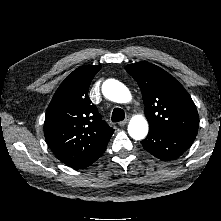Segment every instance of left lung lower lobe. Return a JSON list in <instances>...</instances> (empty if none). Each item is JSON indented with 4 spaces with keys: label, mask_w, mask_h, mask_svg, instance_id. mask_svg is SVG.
<instances>
[{
    "label": "left lung lower lobe",
    "mask_w": 221,
    "mask_h": 221,
    "mask_svg": "<svg viewBox=\"0 0 221 221\" xmlns=\"http://www.w3.org/2000/svg\"><path fill=\"white\" fill-rule=\"evenodd\" d=\"M196 136L171 134L149 130L141 141L143 148L161 160H172L182 155L193 143Z\"/></svg>",
    "instance_id": "left-lung-lower-lobe-1"
}]
</instances>
